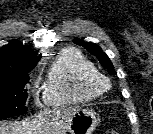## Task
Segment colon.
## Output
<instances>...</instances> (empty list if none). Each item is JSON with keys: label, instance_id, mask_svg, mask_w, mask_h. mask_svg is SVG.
I'll list each match as a JSON object with an SVG mask.
<instances>
[{"label": "colon", "instance_id": "colon-1", "mask_svg": "<svg viewBox=\"0 0 153 134\" xmlns=\"http://www.w3.org/2000/svg\"><path fill=\"white\" fill-rule=\"evenodd\" d=\"M105 134H120V133H118V132H116V131H109V132H107V133H105Z\"/></svg>", "mask_w": 153, "mask_h": 134}]
</instances>
